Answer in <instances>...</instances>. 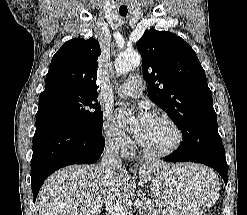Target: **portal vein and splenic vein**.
I'll list each match as a JSON object with an SVG mask.
<instances>
[{
	"mask_svg": "<svg viewBox=\"0 0 247 215\" xmlns=\"http://www.w3.org/2000/svg\"><path fill=\"white\" fill-rule=\"evenodd\" d=\"M134 205L139 207L141 203L139 201H136ZM100 208H101V205L96 206L94 208V212L95 213L98 212ZM105 209L112 215H131L130 211L126 207H123L117 204H112L110 202H107L105 204Z\"/></svg>",
	"mask_w": 247,
	"mask_h": 215,
	"instance_id": "obj_1",
	"label": "portal vein and splenic vein"
}]
</instances>
